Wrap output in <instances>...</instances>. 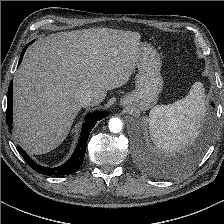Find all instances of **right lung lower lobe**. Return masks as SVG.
I'll list each match as a JSON object with an SVG mask.
<instances>
[{"label":"right lung lower lobe","instance_id":"1","mask_svg":"<svg viewBox=\"0 0 224 224\" xmlns=\"http://www.w3.org/2000/svg\"><path fill=\"white\" fill-rule=\"evenodd\" d=\"M32 43L33 41H31L29 44H32ZM26 49H27V46L24 47L20 55L18 66L20 65L23 59ZM12 88H13V81L10 82L8 93H7L6 122H7V125L9 126V130H11L12 123H13V119H12L13 90ZM107 115L108 113L106 111H99V112H94L86 116L85 122L83 123V127L81 130V137L79 139V142L77 144V147L74 153L72 154V156L69 158L68 161H66L64 164H62L59 167L48 168V167H43L41 165H38L29 157V155L20 146H17L16 149L20 153V155L24 158V160L28 163V165L33 170H35L36 172L40 174L51 176V175H68V174L75 173L83 163L85 152H86L87 141H88V137L91 130L96 125L97 121L103 119Z\"/></svg>","mask_w":224,"mask_h":224}]
</instances>
